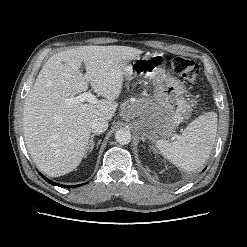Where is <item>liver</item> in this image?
Segmentation results:
<instances>
[{
    "instance_id": "1",
    "label": "liver",
    "mask_w": 247,
    "mask_h": 247,
    "mask_svg": "<svg viewBox=\"0 0 247 247\" xmlns=\"http://www.w3.org/2000/svg\"><path fill=\"white\" fill-rule=\"evenodd\" d=\"M142 53L127 46H79L51 56L40 70L24 105L25 143L46 175L73 171L87 154L91 123L111 120L123 87V68ZM82 62L86 73L80 71ZM105 99L68 105L66 99L88 90Z\"/></svg>"
}]
</instances>
